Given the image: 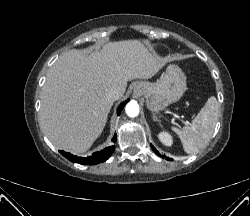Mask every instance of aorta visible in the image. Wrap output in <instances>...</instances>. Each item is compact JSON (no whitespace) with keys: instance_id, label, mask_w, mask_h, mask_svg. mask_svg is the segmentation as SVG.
I'll list each match as a JSON object with an SVG mask.
<instances>
[{"instance_id":"762f6f07","label":"aorta","mask_w":250,"mask_h":216,"mask_svg":"<svg viewBox=\"0 0 250 216\" xmlns=\"http://www.w3.org/2000/svg\"><path fill=\"white\" fill-rule=\"evenodd\" d=\"M125 112L129 117H136L139 114V105L135 101L129 102L125 107Z\"/></svg>"}]
</instances>
